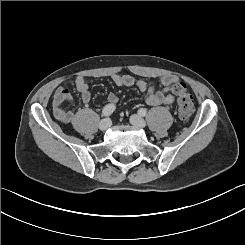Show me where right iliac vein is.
<instances>
[{
	"label": "right iliac vein",
	"mask_w": 245,
	"mask_h": 245,
	"mask_svg": "<svg viewBox=\"0 0 245 245\" xmlns=\"http://www.w3.org/2000/svg\"><path fill=\"white\" fill-rule=\"evenodd\" d=\"M110 126H111V120L109 118L103 119L99 123V128L102 131L107 130L108 128H110Z\"/></svg>",
	"instance_id": "63e3f726"
}]
</instances>
